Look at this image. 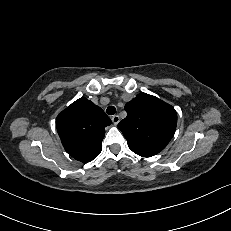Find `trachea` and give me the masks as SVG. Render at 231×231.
Here are the masks:
<instances>
[{"instance_id":"trachea-1","label":"trachea","mask_w":231,"mask_h":231,"mask_svg":"<svg viewBox=\"0 0 231 231\" xmlns=\"http://www.w3.org/2000/svg\"><path fill=\"white\" fill-rule=\"evenodd\" d=\"M106 112L108 115H114L115 112H116V108L114 106H109L107 109H106Z\"/></svg>"}]
</instances>
